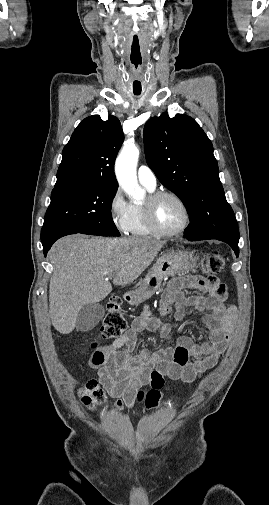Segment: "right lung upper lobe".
<instances>
[{
  "instance_id": "cb5924a9",
  "label": "right lung upper lobe",
  "mask_w": 269,
  "mask_h": 505,
  "mask_svg": "<svg viewBox=\"0 0 269 505\" xmlns=\"http://www.w3.org/2000/svg\"><path fill=\"white\" fill-rule=\"evenodd\" d=\"M120 121L93 115L81 121L65 145L55 187L99 184L117 187L114 163L123 143Z\"/></svg>"
}]
</instances>
